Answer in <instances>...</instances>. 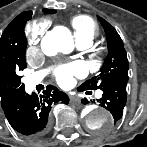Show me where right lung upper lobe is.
Wrapping results in <instances>:
<instances>
[{
    "mask_svg": "<svg viewBox=\"0 0 147 147\" xmlns=\"http://www.w3.org/2000/svg\"><path fill=\"white\" fill-rule=\"evenodd\" d=\"M50 9H44L46 14ZM28 11L19 14L4 30L0 38V96L1 105L23 95L25 92H14L9 82L11 74L18 70L24 63L27 43L20 31V26Z\"/></svg>",
    "mask_w": 147,
    "mask_h": 147,
    "instance_id": "obj_1",
    "label": "right lung upper lobe"
}]
</instances>
